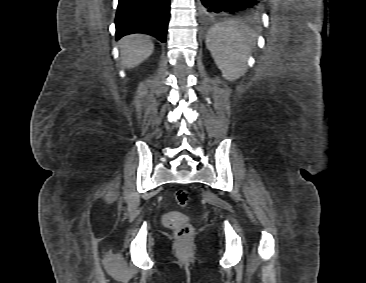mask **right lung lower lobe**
I'll list each match as a JSON object with an SVG mask.
<instances>
[{
    "instance_id": "98d812e1",
    "label": "right lung lower lobe",
    "mask_w": 366,
    "mask_h": 283,
    "mask_svg": "<svg viewBox=\"0 0 366 283\" xmlns=\"http://www.w3.org/2000/svg\"><path fill=\"white\" fill-rule=\"evenodd\" d=\"M170 0H119L115 18L116 40L132 33L166 41Z\"/></svg>"
}]
</instances>
